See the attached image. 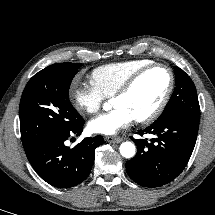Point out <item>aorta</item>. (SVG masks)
<instances>
[{
    "label": "aorta",
    "instance_id": "obj_1",
    "mask_svg": "<svg viewBox=\"0 0 215 215\" xmlns=\"http://www.w3.org/2000/svg\"><path fill=\"white\" fill-rule=\"evenodd\" d=\"M120 154L124 157V158H131L135 155L136 149H135V145L132 142H123L120 145Z\"/></svg>",
    "mask_w": 215,
    "mask_h": 215
}]
</instances>
